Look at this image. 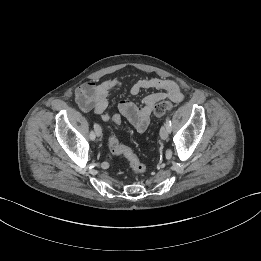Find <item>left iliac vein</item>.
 <instances>
[{
    "label": "left iliac vein",
    "instance_id": "4c4485c4",
    "mask_svg": "<svg viewBox=\"0 0 261 261\" xmlns=\"http://www.w3.org/2000/svg\"><path fill=\"white\" fill-rule=\"evenodd\" d=\"M168 135H169V129H168V126L165 124L164 126L161 127L160 129V137L163 139V140H166L168 138Z\"/></svg>",
    "mask_w": 261,
    "mask_h": 261
}]
</instances>
